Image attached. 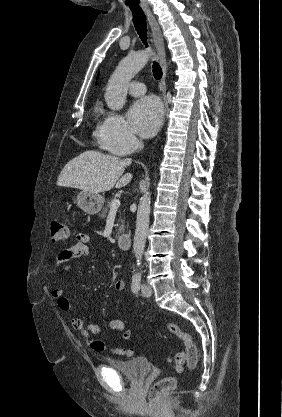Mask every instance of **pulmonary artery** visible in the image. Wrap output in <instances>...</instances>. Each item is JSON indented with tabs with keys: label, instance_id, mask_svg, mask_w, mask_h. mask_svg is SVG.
I'll list each match as a JSON object with an SVG mask.
<instances>
[{
	"label": "pulmonary artery",
	"instance_id": "pulmonary-artery-1",
	"mask_svg": "<svg viewBox=\"0 0 282 417\" xmlns=\"http://www.w3.org/2000/svg\"><path fill=\"white\" fill-rule=\"evenodd\" d=\"M128 90L131 95L140 96L143 95L146 91L145 85L138 81H132L128 85Z\"/></svg>",
	"mask_w": 282,
	"mask_h": 417
}]
</instances>
